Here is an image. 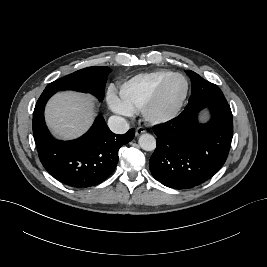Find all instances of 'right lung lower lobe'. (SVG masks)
Wrapping results in <instances>:
<instances>
[{"label":"right lung lower lobe","instance_id":"right-lung-lower-lobe-1","mask_svg":"<svg viewBox=\"0 0 267 267\" xmlns=\"http://www.w3.org/2000/svg\"><path fill=\"white\" fill-rule=\"evenodd\" d=\"M54 92H43L33 114V134L39 158L54 178L72 187H91L100 184L115 170L119 148L135 135L130 129L123 135L110 131L99 115L87 133L76 140L54 139L44 121V108Z\"/></svg>","mask_w":267,"mask_h":267}]
</instances>
